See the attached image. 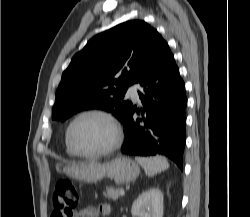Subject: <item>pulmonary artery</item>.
Masks as SVG:
<instances>
[{"mask_svg": "<svg viewBox=\"0 0 250 217\" xmlns=\"http://www.w3.org/2000/svg\"><path fill=\"white\" fill-rule=\"evenodd\" d=\"M127 95L133 100V101H138L139 96H138V86L137 85H131L127 89Z\"/></svg>", "mask_w": 250, "mask_h": 217, "instance_id": "obj_1", "label": "pulmonary artery"}]
</instances>
